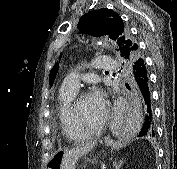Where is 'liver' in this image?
Segmentation results:
<instances>
[{"label":"liver","instance_id":"liver-1","mask_svg":"<svg viewBox=\"0 0 177 169\" xmlns=\"http://www.w3.org/2000/svg\"><path fill=\"white\" fill-rule=\"evenodd\" d=\"M95 145L96 141L86 143L78 147L72 148L71 150L65 151L62 155L60 169H75L78 159L81 156L90 152Z\"/></svg>","mask_w":177,"mask_h":169}]
</instances>
